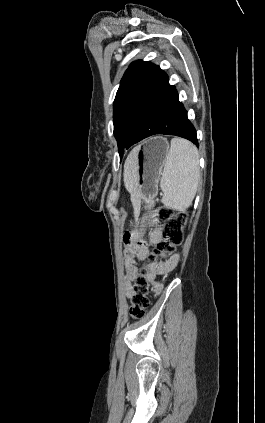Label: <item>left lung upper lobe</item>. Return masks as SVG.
Returning <instances> with one entry per match:
<instances>
[{
    "instance_id": "1",
    "label": "left lung upper lobe",
    "mask_w": 265,
    "mask_h": 423,
    "mask_svg": "<svg viewBox=\"0 0 265 423\" xmlns=\"http://www.w3.org/2000/svg\"><path fill=\"white\" fill-rule=\"evenodd\" d=\"M152 65L153 64L151 62H143L140 60L131 63L129 68L126 70L117 91L113 105V123L114 135L117 140L120 157H122L123 153L126 124L133 101Z\"/></svg>"
}]
</instances>
